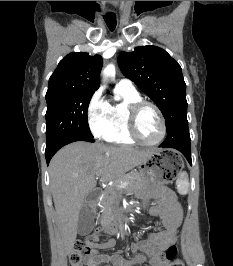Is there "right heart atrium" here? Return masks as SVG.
<instances>
[{
  "label": "right heart atrium",
  "instance_id": "right-heart-atrium-1",
  "mask_svg": "<svg viewBox=\"0 0 233 266\" xmlns=\"http://www.w3.org/2000/svg\"><path fill=\"white\" fill-rule=\"evenodd\" d=\"M109 106L110 104L104 98L101 90H97L89 101L87 121L92 134L96 138H105L111 129Z\"/></svg>",
  "mask_w": 233,
  "mask_h": 266
}]
</instances>
